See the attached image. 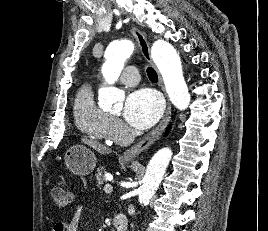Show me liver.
<instances>
[{"instance_id":"6515ba94","label":"liver","mask_w":268,"mask_h":231,"mask_svg":"<svg viewBox=\"0 0 268 231\" xmlns=\"http://www.w3.org/2000/svg\"><path fill=\"white\" fill-rule=\"evenodd\" d=\"M82 141L100 153H105L107 151V148L105 146H102L101 144L97 143L96 141L88 140V139H83Z\"/></svg>"}]
</instances>
